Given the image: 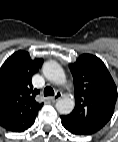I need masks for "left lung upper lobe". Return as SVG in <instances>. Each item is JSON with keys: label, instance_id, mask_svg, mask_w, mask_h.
Masks as SVG:
<instances>
[{"label": "left lung upper lobe", "instance_id": "left-lung-upper-lobe-1", "mask_svg": "<svg viewBox=\"0 0 118 142\" xmlns=\"http://www.w3.org/2000/svg\"><path fill=\"white\" fill-rule=\"evenodd\" d=\"M76 105L61 118L69 120L88 134L103 128L111 119L117 88L104 63L94 55L83 54L72 64Z\"/></svg>", "mask_w": 118, "mask_h": 142}]
</instances>
